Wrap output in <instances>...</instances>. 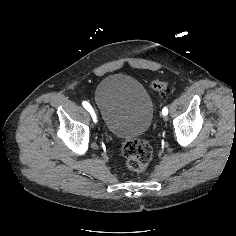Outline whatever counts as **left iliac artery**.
<instances>
[{"instance_id":"1","label":"left iliac artery","mask_w":236,"mask_h":236,"mask_svg":"<svg viewBox=\"0 0 236 236\" xmlns=\"http://www.w3.org/2000/svg\"><path fill=\"white\" fill-rule=\"evenodd\" d=\"M162 114L163 115H167L168 114V108L167 107H164L163 109H162Z\"/></svg>"}]
</instances>
